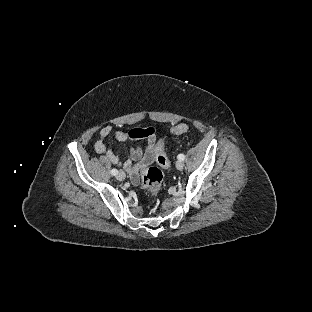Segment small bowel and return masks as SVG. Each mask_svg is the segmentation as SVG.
<instances>
[{"label":"small bowel","instance_id":"c3829d8e","mask_svg":"<svg viewBox=\"0 0 312 312\" xmlns=\"http://www.w3.org/2000/svg\"><path fill=\"white\" fill-rule=\"evenodd\" d=\"M141 129L142 128H135L130 131L118 130L114 132V137L119 142L135 140H143L146 142L145 148L140 145L132 147L129 157L125 160H121L118 155L106 146L105 139L112 133V126H103L99 131V139L94 144L95 151L104 155L110 163L121 166L128 173L130 181L134 185H138L140 182L141 170L150 165L157 157L155 155L156 135L149 132L147 137H142L140 135Z\"/></svg>","mask_w":312,"mask_h":312}]
</instances>
